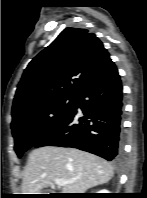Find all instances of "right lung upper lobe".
I'll use <instances>...</instances> for the list:
<instances>
[{
	"label": "right lung upper lobe",
	"mask_w": 147,
	"mask_h": 198,
	"mask_svg": "<svg viewBox=\"0 0 147 198\" xmlns=\"http://www.w3.org/2000/svg\"><path fill=\"white\" fill-rule=\"evenodd\" d=\"M110 61L94 33L64 29L25 69L13 101L12 122L43 104L74 99Z\"/></svg>",
	"instance_id": "1"
}]
</instances>
